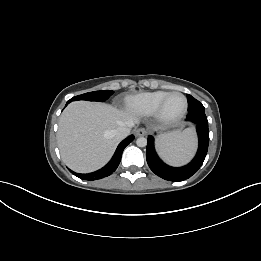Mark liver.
Instances as JSON below:
<instances>
[{
	"instance_id": "obj_1",
	"label": "liver",
	"mask_w": 261,
	"mask_h": 261,
	"mask_svg": "<svg viewBox=\"0 0 261 261\" xmlns=\"http://www.w3.org/2000/svg\"><path fill=\"white\" fill-rule=\"evenodd\" d=\"M138 118L111 105L76 101L63 111L57 133L61 158L72 170L89 173L103 167L121 141L115 131L133 127Z\"/></svg>"
}]
</instances>
